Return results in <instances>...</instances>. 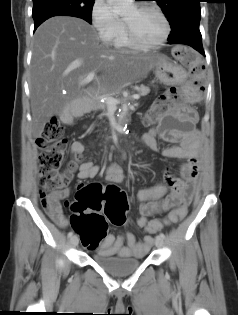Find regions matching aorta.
I'll use <instances>...</instances> for the list:
<instances>
[{"instance_id": "1", "label": "aorta", "mask_w": 238, "mask_h": 315, "mask_svg": "<svg viewBox=\"0 0 238 315\" xmlns=\"http://www.w3.org/2000/svg\"><path fill=\"white\" fill-rule=\"evenodd\" d=\"M116 14H126L133 9V0H107Z\"/></svg>"}]
</instances>
